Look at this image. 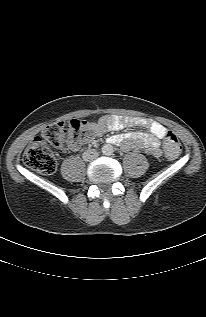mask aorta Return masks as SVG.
<instances>
[{"instance_id":"762f6f07","label":"aorta","mask_w":206,"mask_h":317,"mask_svg":"<svg viewBox=\"0 0 206 317\" xmlns=\"http://www.w3.org/2000/svg\"><path fill=\"white\" fill-rule=\"evenodd\" d=\"M113 146L110 144H106L102 147V152L105 155H111L113 153Z\"/></svg>"}]
</instances>
